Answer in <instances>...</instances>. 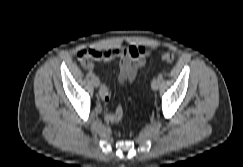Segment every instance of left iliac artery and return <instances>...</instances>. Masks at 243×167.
Masks as SVG:
<instances>
[{
    "mask_svg": "<svg viewBox=\"0 0 243 167\" xmlns=\"http://www.w3.org/2000/svg\"><path fill=\"white\" fill-rule=\"evenodd\" d=\"M158 79L162 80L163 79V75L162 74H159L158 75Z\"/></svg>",
    "mask_w": 243,
    "mask_h": 167,
    "instance_id": "44dca946",
    "label": "left iliac artery"
}]
</instances>
